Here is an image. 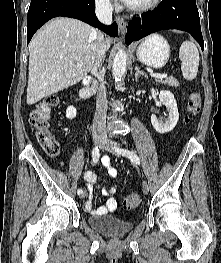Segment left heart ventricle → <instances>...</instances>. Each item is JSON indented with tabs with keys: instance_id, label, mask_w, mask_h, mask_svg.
<instances>
[{
	"instance_id": "left-heart-ventricle-1",
	"label": "left heart ventricle",
	"mask_w": 221,
	"mask_h": 263,
	"mask_svg": "<svg viewBox=\"0 0 221 263\" xmlns=\"http://www.w3.org/2000/svg\"><path fill=\"white\" fill-rule=\"evenodd\" d=\"M149 0H133L132 4L133 5H138V4H143Z\"/></svg>"
}]
</instances>
